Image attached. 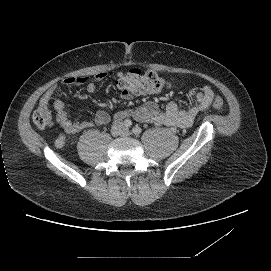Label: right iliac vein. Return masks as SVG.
Masks as SVG:
<instances>
[{
	"mask_svg": "<svg viewBox=\"0 0 271 271\" xmlns=\"http://www.w3.org/2000/svg\"><path fill=\"white\" fill-rule=\"evenodd\" d=\"M121 134V129L119 127H116L114 130H113V135H120Z\"/></svg>",
	"mask_w": 271,
	"mask_h": 271,
	"instance_id": "1",
	"label": "right iliac vein"
}]
</instances>
